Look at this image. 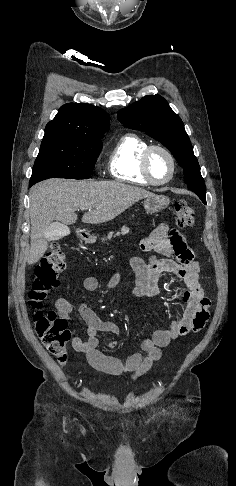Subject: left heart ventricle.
<instances>
[{"instance_id":"1","label":"left heart ventricle","mask_w":236,"mask_h":486,"mask_svg":"<svg viewBox=\"0 0 236 486\" xmlns=\"http://www.w3.org/2000/svg\"><path fill=\"white\" fill-rule=\"evenodd\" d=\"M149 170L155 180H165L171 171L170 161L164 153L154 151L149 159Z\"/></svg>"}]
</instances>
